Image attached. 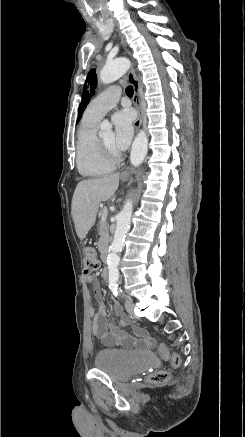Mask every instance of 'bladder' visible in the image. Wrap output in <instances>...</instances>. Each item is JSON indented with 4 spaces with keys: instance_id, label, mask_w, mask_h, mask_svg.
<instances>
[{
    "instance_id": "31cf9c89",
    "label": "bladder",
    "mask_w": 245,
    "mask_h": 437,
    "mask_svg": "<svg viewBox=\"0 0 245 437\" xmlns=\"http://www.w3.org/2000/svg\"><path fill=\"white\" fill-rule=\"evenodd\" d=\"M155 364L156 358L153 354L134 350H103L94 359L95 368L117 382H125Z\"/></svg>"
}]
</instances>
